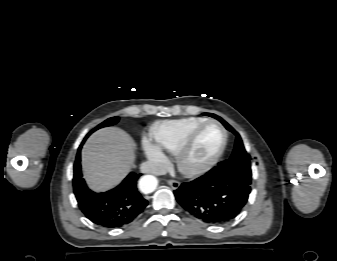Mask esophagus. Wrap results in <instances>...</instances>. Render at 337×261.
I'll return each instance as SVG.
<instances>
[{"instance_id": "34e87169", "label": "esophagus", "mask_w": 337, "mask_h": 261, "mask_svg": "<svg viewBox=\"0 0 337 261\" xmlns=\"http://www.w3.org/2000/svg\"><path fill=\"white\" fill-rule=\"evenodd\" d=\"M167 184L172 188V189H178L180 186V183L176 180H168Z\"/></svg>"}]
</instances>
